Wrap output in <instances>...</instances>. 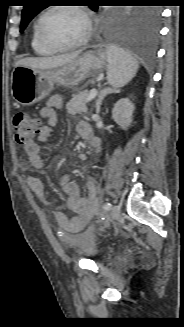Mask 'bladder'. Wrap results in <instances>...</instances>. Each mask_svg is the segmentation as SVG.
I'll return each instance as SVG.
<instances>
[{
    "label": "bladder",
    "mask_w": 184,
    "mask_h": 327,
    "mask_svg": "<svg viewBox=\"0 0 184 327\" xmlns=\"http://www.w3.org/2000/svg\"><path fill=\"white\" fill-rule=\"evenodd\" d=\"M71 247L89 260L97 261L103 257V250L99 245L98 236L93 231H85L75 236Z\"/></svg>",
    "instance_id": "bladder-1"
}]
</instances>
